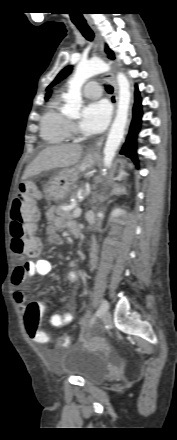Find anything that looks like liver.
Returning <instances> with one entry per match:
<instances>
[{
    "label": "liver",
    "mask_w": 177,
    "mask_h": 440,
    "mask_svg": "<svg viewBox=\"0 0 177 440\" xmlns=\"http://www.w3.org/2000/svg\"><path fill=\"white\" fill-rule=\"evenodd\" d=\"M83 147L76 144L50 146L41 151L26 168L22 180L55 168L75 165L81 158Z\"/></svg>",
    "instance_id": "1"
}]
</instances>
